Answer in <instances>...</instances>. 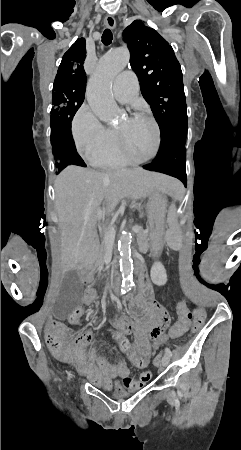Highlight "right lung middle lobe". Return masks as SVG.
Here are the masks:
<instances>
[{"label": "right lung middle lobe", "instance_id": "dd1d6c3e", "mask_svg": "<svg viewBox=\"0 0 241 450\" xmlns=\"http://www.w3.org/2000/svg\"><path fill=\"white\" fill-rule=\"evenodd\" d=\"M85 88L69 83H54L50 116L54 166L60 173L69 165L65 148L73 144L71 121L84 101Z\"/></svg>", "mask_w": 241, "mask_h": 450}]
</instances>
